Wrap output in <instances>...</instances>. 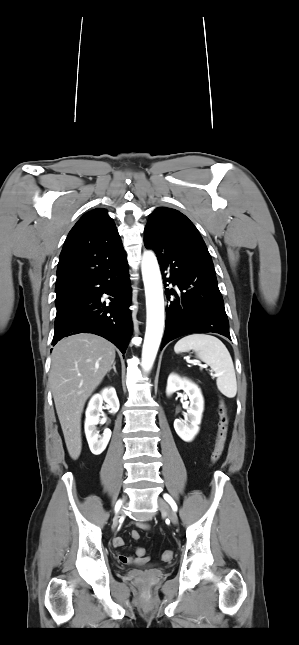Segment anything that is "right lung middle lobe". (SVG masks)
Returning a JSON list of instances; mask_svg holds the SVG:
<instances>
[{"label":"right lung middle lobe","instance_id":"right-lung-middle-lobe-1","mask_svg":"<svg viewBox=\"0 0 299 645\" xmlns=\"http://www.w3.org/2000/svg\"><path fill=\"white\" fill-rule=\"evenodd\" d=\"M73 293H74V288H68V289L56 291V300H55L56 307L58 308L62 306L63 303L66 302V300L73 295Z\"/></svg>","mask_w":299,"mask_h":645}]
</instances>
